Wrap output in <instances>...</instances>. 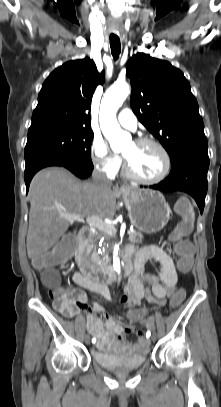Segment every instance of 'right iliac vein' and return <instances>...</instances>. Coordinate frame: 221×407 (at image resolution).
I'll return each mask as SVG.
<instances>
[{
    "label": "right iliac vein",
    "instance_id": "1",
    "mask_svg": "<svg viewBox=\"0 0 221 407\" xmlns=\"http://www.w3.org/2000/svg\"><path fill=\"white\" fill-rule=\"evenodd\" d=\"M84 342H85L86 344H89V343H90V337H89V335H85V337H84Z\"/></svg>",
    "mask_w": 221,
    "mask_h": 407
}]
</instances>
